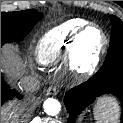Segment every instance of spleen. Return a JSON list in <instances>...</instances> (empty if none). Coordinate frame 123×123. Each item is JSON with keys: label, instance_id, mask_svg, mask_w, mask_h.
I'll use <instances>...</instances> for the list:
<instances>
[{"label": "spleen", "instance_id": "spleen-1", "mask_svg": "<svg viewBox=\"0 0 123 123\" xmlns=\"http://www.w3.org/2000/svg\"><path fill=\"white\" fill-rule=\"evenodd\" d=\"M96 123H117L119 106L111 97H105L98 101L94 109Z\"/></svg>", "mask_w": 123, "mask_h": 123}]
</instances>
